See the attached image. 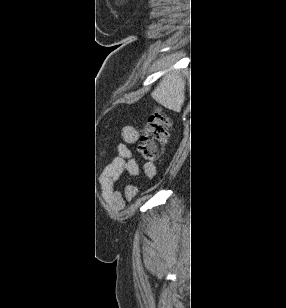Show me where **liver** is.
<instances>
[{"label": "liver", "mask_w": 286, "mask_h": 308, "mask_svg": "<svg viewBox=\"0 0 286 308\" xmlns=\"http://www.w3.org/2000/svg\"><path fill=\"white\" fill-rule=\"evenodd\" d=\"M184 77L176 72L165 75L152 92V98L162 106L179 112L185 102Z\"/></svg>", "instance_id": "1"}]
</instances>
